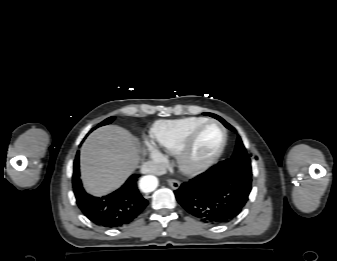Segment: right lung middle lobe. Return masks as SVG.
I'll use <instances>...</instances> for the list:
<instances>
[{
    "label": "right lung middle lobe",
    "instance_id": "right-lung-middle-lobe-1",
    "mask_svg": "<svg viewBox=\"0 0 337 261\" xmlns=\"http://www.w3.org/2000/svg\"><path fill=\"white\" fill-rule=\"evenodd\" d=\"M113 120H114V117H110V118L104 120L102 123H100L97 127L103 126V125H107V124L111 123ZM94 129H95V128H93V130H94Z\"/></svg>",
    "mask_w": 337,
    "mask_h": 261
}]
</instances>
